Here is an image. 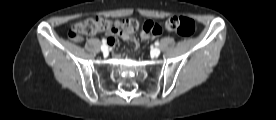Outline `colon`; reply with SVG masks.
I'll list each match as a JSON object with an SVG mask.
<instances>
[{"label":"colon","instance_id":"1","mask_svg":"<svg viewBox=\"0 0 276 120\" xmlns=\"http://www.w3.org/2000/svg\"><path fill=\"white\" fill-rule=\"evenodd\" d=\"M165 27L168 31L176 32L182 37H190L195 32L194 21L184 16L169 18L165 23ZM139 29L151 36H158L162 32L161 27L153 21H147L141 25L138 20L132 18H124L113 22L105 17L97 16L71 24L68 28V36L73 41H80L83 35L106 32L127 38L133 36Z\"/></svg>","mask_w":276,"mask_h":120}]
</instances>
